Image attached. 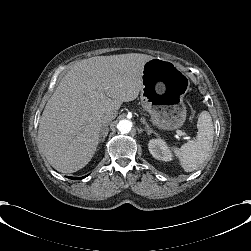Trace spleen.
<instances>
[{
    "mask_svg": "<svg viewBox=\"0 0 251 251\" xmlns=\"http://www.w3.org/2000/svg\"><path fill=\"white\" fill-rule=\"evenodd\" d=\"M197 128L196 140L188 141L181 148H173L186 172L198 169L209 157L213 145L214 126L208 111L200 113Z\"/></svg>",
    "mask_w": 251,
    "mask_h": 251,
    "instance_id": "spleen-1",
    "label": "spleen"
}]
</instances>
